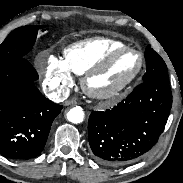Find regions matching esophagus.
<instances>
[{"label": "esophagus", "instance_id": "obj_1", "mask_svg": "<svg viewBox=\"0 0 183 183\" xmlns=\"http://www.w3.org/2000/svg\"><path fill=\"white\" fill-rule=\"evenodd\" d=\"M77 104H78V102L74 99H70V100L65 101V106H69V105L74 106V105H77Z\"/></svg>", "mask_w": 183, "mask_h": 183}]
</instances>
